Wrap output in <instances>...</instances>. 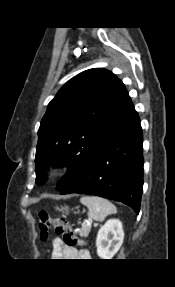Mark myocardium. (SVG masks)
<instances>
[{"label":"myocardium","instance_id":"1","mask_svg":"<svg viewBox=\"0 0 175 287\" xmlns=\"http://www.w3.org/2000/svg\"><path fill=\"white\" fill-rule=\"evenodd\" d=\"M62 170V166L60 164H55L53 166L50 167L49 169V173L51 175H56L58 174L60 171Z\"/></svg>","mask_w":175,"mask_h":287}]
</instances>
